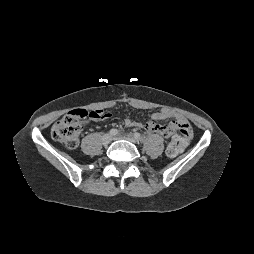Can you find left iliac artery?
Wrapping results in <instances>:
<instances>
[{
	"mask_svg": "<svg viewBox=\"0 0 254 254\" xmlns=\"http://www.w3.org/2000/svg\"><path fill=\"white\" fill-rule=\"evenodd\" d=\"M134 137H135L136 139H141V135H140V133H138V132L134 133Z\"/></svg>",
	"mask_w": 254,
	"mask_h": 254,
	"instance_id": "obj_1",
	"label": "left iliac artery"
}]
</instances>
